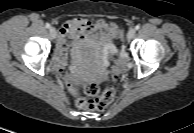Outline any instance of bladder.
<instances>
[{
	"label": "bladder",
	"mask_w": 194,
	"mask_h": 133,
	"mask_svg": "<svg viewBox=\"0 0 194 133\" xmlns=\"http://www.w3.org/2000/svg\"><path fill=\"white\" fill-rule=\"evenodd\" d=\"M94 38L108 49L113 48L112 37L105 31L98 30L94 34Z\"/></svg>",
	"instance_id": "bladder-1"
}]
</instances>
